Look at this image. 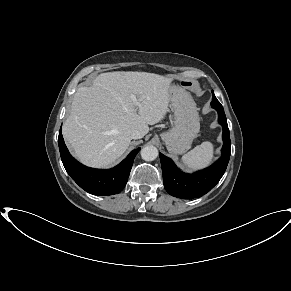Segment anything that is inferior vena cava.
I'll return each mask as SVG.
<instances>
[{"label":"inferior vena cava","mask_w":291,"mask_h":291,"mask_svg":"<svg viewBox=\"0 0 291 291\" xmlns=\"http://www.w3.org/2000/svg\"><path fill=\"white\" fill-rule=\"evenodd\" d=\"M144 135L141 131L139 130H134L132 133H131V139H140L142 138Z\"/></svg>","instance_id":"obj_1"}]
</instances>
